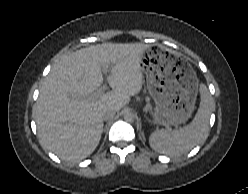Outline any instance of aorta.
I'll return each instance as SVG.
<instances>
[{"label": "aorta", "instance_id": "762f6f07", "mask_svg": "<svg viewBox=\"0 0 248 194\" xmlns=\"http://www.w3.org/2000/svg\"><path fill=\"white\" fill-rule=\"evenodd\" d=\"M124 120L127 122H133L135 120V115L134 113L128 111L124 114Z\"/></svg>", "mask_w": 248, "mask_h": 194}]
</instances>
